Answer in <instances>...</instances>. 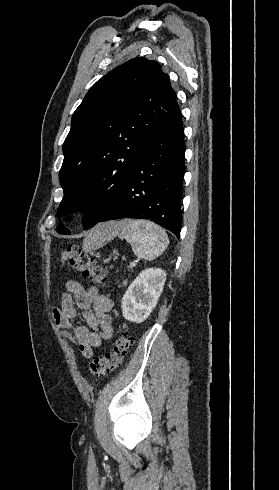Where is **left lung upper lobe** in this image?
Returning a JSON list of instances; mask_svg holds the SVG:
<instances>
[{
  "mask_svg": "<svg viewBox=\"0 0 279 490\" xmlns=\"http://www.w3.org/2000/svg\"><path fill=\"white\" fill-rule=\"evenodd\" d=\"M177 106L169 76L144 57L96 82L75 110L63 144L58 215L91 209L84 228L97 224L115 206L145 142ZM58 232L69 234L62 222Z\"/></svg>",
  "mask_w": 279,
  "mask_h": 490,
  "instance_id": "5c2ea615",
  "label": "left lung upper lobe"
}]
</instances>
